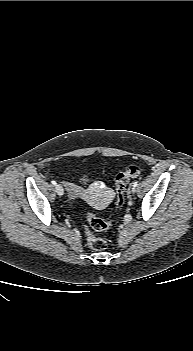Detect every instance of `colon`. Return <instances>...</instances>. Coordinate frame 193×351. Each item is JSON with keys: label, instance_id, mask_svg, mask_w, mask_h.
I'll return each mask as SVG.
<instances>
[{"label": "colon", "instance_id": "5ec220e1", "mask_svg": "<svg viewBox=\"0 0 193 351\" xmlns=\"http://www.w3.org/2000/svg\"><path fill=\"white\" fill-rule=\"evenodd\" d=\"M143 174V167L139 164L130 165L126 170L119 172L115 177V194H116V206L121 208L124 204L125 193L127 185L131 179L138 178ZM88 227L86 229L87 242L89 247L96 251H104L108 243L105 239L96 237L92 234L91 230L95 231H105L109 229L112 224L106 222L93 214H88L87 216Z\"/></svg>", "mask_w": 193, "mask_h": 351}]
</instances>
